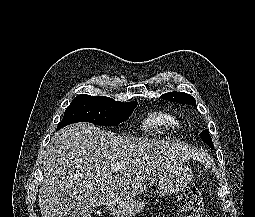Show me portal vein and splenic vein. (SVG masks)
Masks as SVG:
<instances>
[{
    "instance_id": "portal-vein-and-splenic-vein-1",
    "label": "portal vein and splenic vein",
    "mask_w": 255,
    "mask_h": 217,
    "mask_svg": "<svg viewBox=\"0 0 255 217\" xmlns=\"http://www.w3.org/2000/svg\"><path fill=\"white\" fill-rule=\"evenodd\" d=\"M122 166L120 164H114L112 165L111 169L115 172H119L121 170Z\"/></svg>"
}]
</instances>
